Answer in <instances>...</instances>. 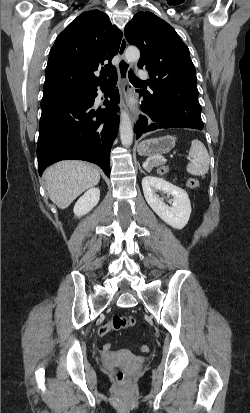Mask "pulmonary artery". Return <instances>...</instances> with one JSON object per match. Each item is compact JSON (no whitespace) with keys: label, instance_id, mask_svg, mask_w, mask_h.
Here are the masks:
<instances>
[{"label":"pulmonary artery","instance_id":"e3ab8cb5","mask_svg":"<svg viewBox=\"0 0 250 413\" xmlns=\"http://www.w3.org/2000/svg\"><path fill=\"white\" fill-rule=\"evenodd\" d=\"M138 75H139V78L142 79V80H146L148 78V75H147L146 71H144V70H140L138 72Z\"/></svg>","mask_w":250,"mask_h":413}]
</instances>
